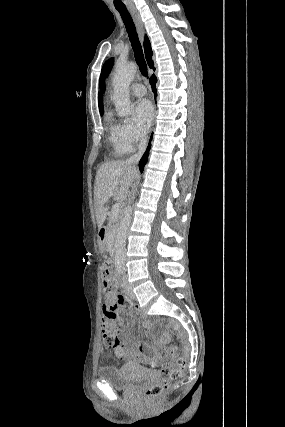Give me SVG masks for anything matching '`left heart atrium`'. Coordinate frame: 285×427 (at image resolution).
Returning a JSON list of instances; mask_svg holds the SVG:
<instances>
[{
  "label": "left heart atrium",
  "instance_id": "1",
  "mask_svg": "<svg viewBox=\"0 0 285 427\" xmlns=\"http://www.w3.org/2000/svg\"><path fill=\"white\" fill-rule=\"evenodd\" d=\"M154 117L151 103L147 99H140L134 105L133 118L142 132L150 127Z\"/></svg>",
  "mask_w": 285,
  "mask_h": 427
}]
</instances>
